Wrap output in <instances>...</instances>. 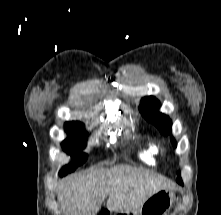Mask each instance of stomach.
Wrapping results in <instances>:
<instances>
[{
	"instance_id": "stomach-1",
	"label": "stomach",
	"mask_w": 221,
	"mask_h": 215,
	"mask_svg": "<svg viewBox=\"0 0 221 215\" xmlns=\"http://www.w3.org/2000/svg\"><path fill=\"white\" fill-rule=\"evenodd\" d=\"M175 201L171 189H163L151 195L140 208L131 211H117L115 215H167Z\"/></svg>"
}]
</instances>
